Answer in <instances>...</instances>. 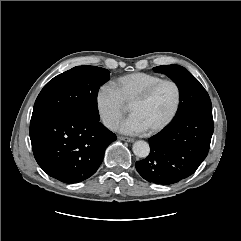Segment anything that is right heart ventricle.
<instances>
[{
  "instance_id": "obj_1",
  "label": "right heart ventricle",
  "mask_w": 241,
  "mask_h": 241,
  "mask_svg": "<svg viewBox=\"0 0 241 241\" xmlns=\"http://www.w3.org/2000/svg\"><path fill=\"white\" fill-rule=\"evenodd\" d=\"M161 79L155 74L135 72L117 78L112 83V87L124 105H130L136 97Z\"/></svg>"
}]
</instances>
